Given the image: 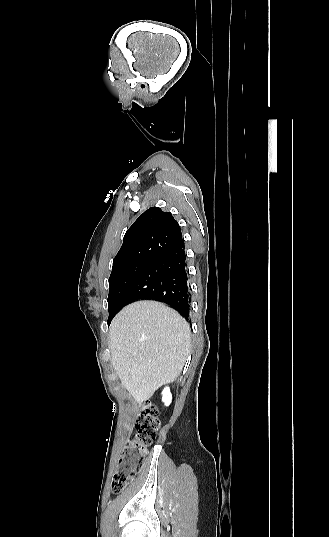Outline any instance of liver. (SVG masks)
I'll return each instance as SVG.
<instances>
[{
    "label": "liver",
    "instance_id": "1",
    "mask_svg": "<svg viewBox=\"0 0 329 537\" xmlns=\"http://www.w3.org/2000/svg\"><path fill=\"white\" fill-rule=\"evenodd\" d=\"M190 335L187 321L159 302L138 301L115 316L109 328L111 362L138 403L180 375Z\"/></svg>",
    "mask_w": 329,
    "mask_h": 537
}]
</instances>
